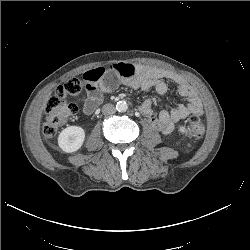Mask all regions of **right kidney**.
Wrapping results in <instances>:
<instances>
[{
    "mask_svg": "<svg viewBox=\"0 0 250 250\" xmlns=\"http://www.w3.org/2000/svg\"><path fill=\"white\" fill-rule=\"evenodd\" d=\"M85 131L79 126H69L62 130L58 137L59 147L66 153L77 151L83 145Z\"/></svg>",
    "mask_w": 250,
    "mask_h": 250,
    "instance_id": "ca27d5eb",
    "label": "right kidney"
}]
</instances>
